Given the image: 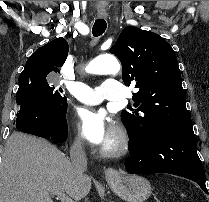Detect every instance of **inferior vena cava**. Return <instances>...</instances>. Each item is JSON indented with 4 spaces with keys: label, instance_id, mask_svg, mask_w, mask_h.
I'll use <instances>...</instances> for the list:
<instances>
[{
    "label": "inferior vena cava",
    "instance_id": "1",
    "mask_svg": "<svg viewBox=\"0 0 209 202\" xmlns=\"http://www.w3.org/2000/svg\"><path fill=\"white\" fill-rule=\"evenodd\" d=\"M71 163L74 169V173L78 176H83L87 169V157L83 143L80 139L76 140L70 149ZM88 199L85 198V202Z\"/></svg>",
    "mask_w": 209,
    "mask_h": 202
}]
</instances>
